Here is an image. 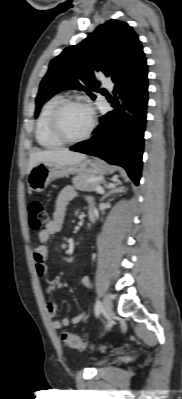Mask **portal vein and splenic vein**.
Masks as SVG:
<instances>
[{"instance_id":"1","label":"portal vein and splenic vein","mask_w":182,"mask_h":399,"mask_svg":"<svg viewBox=\"0 0 182 399\" xmlns=\"http://www.w3.org/2000/svg\"><path fill=\"white\" fill-rule=\"evenodd\" d=\"M90 181H94V180H90ZM96 191H97L98 193H103V192H104V188H103L102 186L98 185V186L96 187Z\"/></svg>"}]
</instances>
